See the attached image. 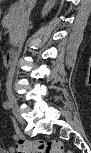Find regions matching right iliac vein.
Returning a JSON list of instances; mask_svg holds the SVG:
<instances>
[{"instance_id":"63e3f726","label":"right iliac vein","mask_w":91,"mask_h":153,"mask_svg":"<svg viewBox=\"0 0 91 153\" xmlns=\"http://www.w3.org/2000/svg\"><path fill=\"white\" fill-rule=\"evenodd\" d=\"M8 102L10 104V108L17 115L19 121H22V118L20 117V114H19V107H18L17 101L12 94L8 95Z\"/></svg>"}]
</instances>
